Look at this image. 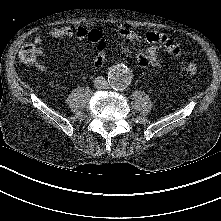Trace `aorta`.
Segmentation results:
<instances>
[{"label":"aorta","mask_w":221,"mask_h":221,"mask_svg":"<svg viewBox=\"0 0 221 221\" xmlns=\"http://www.w3.org/2000/svg\"><path fill=\"white\" fill-rule=\"evenodd\" d=\"M110 86L116 90L127 88L132 81V73L125 65H115L108 71Z\"/></svg>","instance_id":"762f6f07"}]
</instances>
